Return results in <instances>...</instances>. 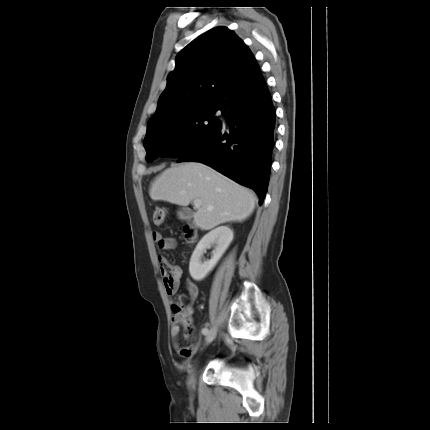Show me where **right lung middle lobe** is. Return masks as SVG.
I'll return each instance as SVG.
<instances>
[{
	"label": "right lung middle lobe",
	"instance_id": "right-lung-middle-lobe-1",
	"mask_svg": "<svg viewBox=\"0 0 430 430\" xmlns=\"http://www.w3.org/2000/svg\"><path fill=\"white\" fill-rule=\"evenodd\" d=\"M219 106L214 104L187 110L147 127L144 139L146 160L157 156L180 158L194 151L220 126L214 113Z\"/></svg>",
	"mask_w": 430,
	"mask_h": 430
}]
</instances>
